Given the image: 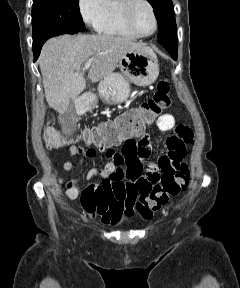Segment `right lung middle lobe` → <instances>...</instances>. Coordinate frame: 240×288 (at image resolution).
<instances>
[{
  "instance_id": "right-lung-middle-lobe-1",
  "label": "right lung middle lobe",
  "mask_w": 240,
  "mask_h": 288,
  "mask_svg": "<svg viewBox=\"0 0 240 288\" xmlns=\"http://www.w3.org/2000/svg\"><path fill=\"white\" fill-rule=\"evenodd\" d=\"M59 30L84 31L79 0H33V46Z\"/></svg>"
}]
</instances>
